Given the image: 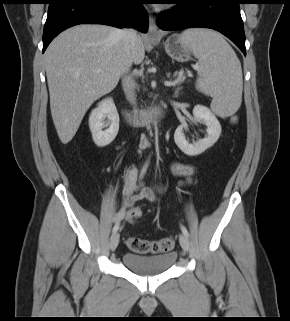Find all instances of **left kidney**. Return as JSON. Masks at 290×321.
<instances>
[{
  "label": "left kidney",
  "mask_w": 290,
  "mask_h": 321,
  "mask_svg": "<svg viewBox=\"0 0 290 321\" xmlns=\"http://www.w3.org/2000/svg\"><path fill=\"white\" fill-rule=\"evenodd\" d=\"M194 118L207 126V136L198 142L189 143L184 135L185 125H180L174 134L176 145L189 156H196L213 146L221 134V125L211 110L203 105H196L193 109Z\"/></svg>",
  "instance_id": "obj_1"
}]
</instances>
